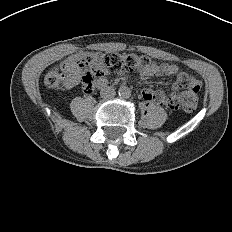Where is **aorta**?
Returning <instances> with one entry per match:
<instances>
[{"label": "aorta", "instance_id": "762f6f07", "mask_svg": "<svg viewBox=\"0 0 232 232\" xmlns=\"http://www.w3.org/2000/svg\"><path fill=\"white\" fill-rule=\"evenodd\" d=\"M119 95L122 97H129L131 95V90L130 88L126 87V86H122L119 88Z\"/></svg>", "mask_w": 232, "mask_h": 232}]
</instances>
